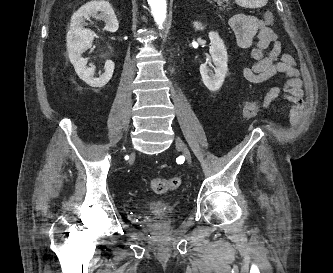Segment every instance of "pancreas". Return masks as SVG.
<instances>
[{"mask_svg":"<svg viewBox=\"0 0 333 273\" xmlns=\"http://www.w3.org/2000/svg\"><path fill=\"white\" fill-rule=\"evenodd\" d=\"M218 4L221 6L223 2L229 3L228 0H216ZM225 7V6H224Z\"/></svg>","mask_w":333,"mask_h":273,"instance_id":"obj_1","label":"pancreas"}]
</instances>
